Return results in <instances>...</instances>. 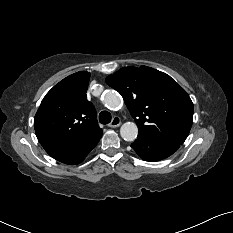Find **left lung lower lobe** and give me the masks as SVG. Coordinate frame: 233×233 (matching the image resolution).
<instances>
[{
	"instance_id": "left-lung-lower-lobe-1",
	"label": "left lung lower lobe",
	"mask_w": 233,
	"mask_h": 233,
	"mask_svg": "<svg viewBox=\"0 0 233 233\" xmlns=\"http://www.w3.org/2000/svg\"><path fill=\"white\" fill-rule=\"evenodd\" d=\"M179 144L138 135L131 147L145 161H159L178 150Z\"/></svg>"
}]
</instances>
